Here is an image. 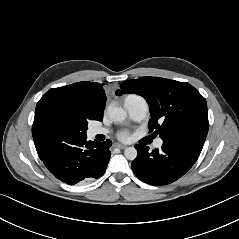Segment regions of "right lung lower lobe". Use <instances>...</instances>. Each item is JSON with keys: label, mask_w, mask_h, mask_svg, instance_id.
I'll return each mask as SVG.
<instances>
[{"label": "right lung lower lobe", "mask_w": 239, "mask_h": 239, "mask_svg": "<svg viewBox=\"0 0 239 239\" xmlns=\"http://www.w3.org/2000/svg\"><path fill=\"white\" fill-rule=\"evenodd\" d=\"M110 146V141H89L83 135L70 136L36 150L57 179L74 185L90 182L104 174L111 155Z\"/></svg>", "instance_id": "obj_1"}]
</instances>
